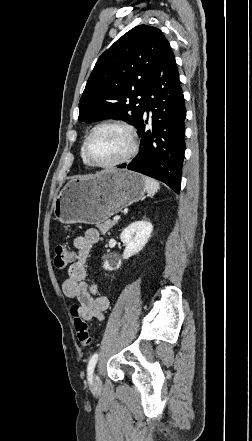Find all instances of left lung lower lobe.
Here are the masks:
<instances>
[{
    "label": "left lung lower lobe",
    "instance_id": "obj_1",
    "mask_svg": "<svg viewBox=\"0 0 252 441\" xmlns=\"http://www.w3.org/2000/svg\"><path fill=\"white\" fill-rule=\"evenodd\" d=\"M152 111V130H145L143 119L137 130L141 137L140 152L127 168L166 183L176 193L185 152L186 109L179 74L168 41L160 51L152 79L146 92L145 111Z\"/></svg>",
    "mask_w": 252,
    "mask_h": 441
}]
</instances>
